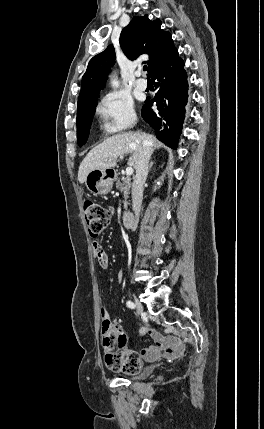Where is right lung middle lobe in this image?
<instances>
[{
  "label": "right lung middle lobe",
  "instance_id": "right-lung-middle-lobe-1",
  "mask_svg": "<svg viewBox=\"0 0 264 429\" xmlns=\"http://www.w3.org/2000/svg\"><path fill=\"white\" fill-rule=\"evenodd\" d=\"M97 106V100L78 106L77 109V139L78 145L83 146L89 135L92 118Z\"/></svg>",
  "mask_w": 264,
  "mask_h": 429
}]
</instances>
